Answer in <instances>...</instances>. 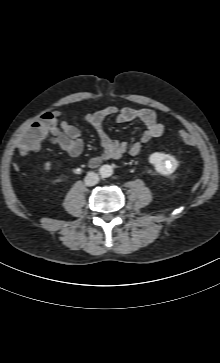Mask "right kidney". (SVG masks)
I'll return each instance as SVG.
<instances>
[{"instance_id": "ca27d5eb", "label": "right kidney", "mask_w": 220, "mask_h": 363, "mask_svg": "<svg viewBox=\"0 0 220 363\" xmlns=\"http://www.w3.org/2000/svg\"><path fill=\"white\" fill-rule=\"evenodd\" d=\"M50 168H51V163L50 162H46L45 163V169L46 170H50Z\"/></svg>"}]
</instances>
